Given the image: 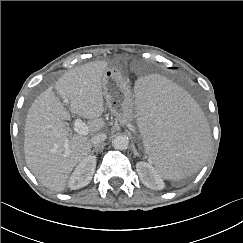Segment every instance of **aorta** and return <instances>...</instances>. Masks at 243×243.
I'll return each mask as SVG.
<instances>
[{"mask_svg":"<svg viewBox=\"0 0 243 243\" xmlns=\"http://www.w3.org/2000/svg\"><path fill=\"white\" fill-rule=\"evenodd\" d=\"M128 144H129V139L126 135H117L112 141L113 147L117 150L127 149Z\"/></svg>","mask_w":243,"mask_h":243,"instance_id":"762f6f07","label":"aorta"}]
</instances>
